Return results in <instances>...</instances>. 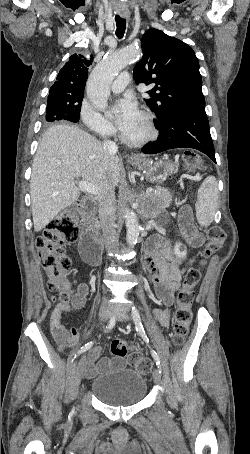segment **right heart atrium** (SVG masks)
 Here are the masks:
<instances>
[{
  "instance_id": "1",
  "label": "right heart atrium",
  "mask_w": 250,
  "mask_h": 454,
  "mask_svg": "<svg viewBox=\"0 0 250 454\" xmlns=\"http://www.w3.org/2000/svg\"><path fill=\"white\" fill-rule=\"evenodd\" d=\"M79 114L84 127L88 131L102 137L110 136L114 133L113 125L88 100L82 101Z\"/></svg>"
}]
</instances>
